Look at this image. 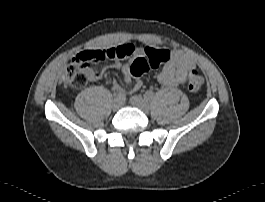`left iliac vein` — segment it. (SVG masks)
<instances>
[{
    "label": "left iliac vein",
    "instance_id": "left-iliac-vein-1",
    "mask_svg": "<svg viewBox=\"0 0 265 202\" xmlns=\"http://www.w3.org/2000/svg\"><path fill=\"white\" fill-rule=\"evenodd\" d=\"M130 103L134 106L142 110L144 113H148L150 110V105L147 99L143 98L140 95H133L130 98Z\"/></svg>",
    "mask_w": 265,
    "mask_h": 202
}]
</instances>
